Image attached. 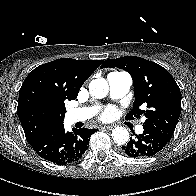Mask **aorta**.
I'll list each match as a JSON object with an SVG mask.
<instances>
[{
	"label": "aorta",
	"instance_id": "obj_1",
	"mask_svg": "<svg viewBox=\"0 0 196 196\" xmlns=\"http://www.w3.org/2000/svg\"><path fill=\"white\" fill-rule=\"evenodd\" d=\"M109 90L108 82L104 78L94 79L89 84V91L92 96L102 99L107 96ZM113 141L123 145L129 140L128 130L124 127H116L112 130Z\"/></svg>",
	"mask_w": 196,
	"mask_h": 196
}]
</instances>
